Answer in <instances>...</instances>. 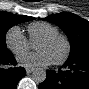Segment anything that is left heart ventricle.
<instances>
[{
    "instance_id": "1",
    "label": "left heart ventricle",
    "mask_w": 89,
    "mask_h": 89,
    "mask_svg": "<svg viewBox=\"0 0 89 89\" xmlns=\"http://www.w3.org/2000/svg\"><path fill=\"white\" fill-rule=\"evenodd\" d=\"M34 47L38 51L47 52L52 61L60 58L64 54L66 48L64 41L60 38L51 42H36Z\"/></svg>"
}]
</instances>
